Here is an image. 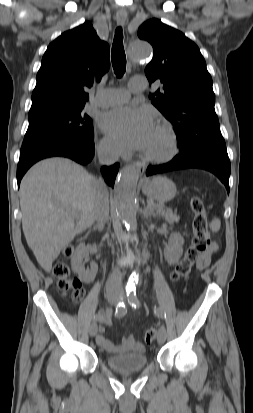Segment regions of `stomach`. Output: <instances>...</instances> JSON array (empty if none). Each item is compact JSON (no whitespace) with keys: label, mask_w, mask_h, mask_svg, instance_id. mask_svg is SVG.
<instances>
[{"label":"stomach","mask_w":253,"mask_h":413,"mask_svg":"<svg viewBox=\"0 0 253 413\" xmlns=\"http://www.w3.org/2000/svg\"><path fill=\"white\" fill-rule=\"evenodd\" d=\"M142 191L148 198L164 203L174 198L176 185L165 176H157L144 180L142 182Z\"/></svg>","instance_id":"1"}]
</instances>
